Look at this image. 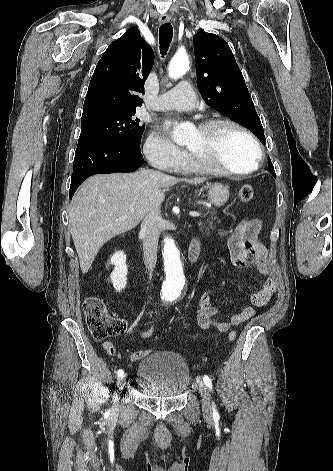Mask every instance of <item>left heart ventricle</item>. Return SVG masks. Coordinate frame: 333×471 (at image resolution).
Returning a JSON list of instances; mask_svg holds the SVG:
<instances>
[{
    "mask_svg": "<svg viewBox=\"0 0 333 471\" xmlns=\"http://www.w3.org/2000/svg\"><path fill=\"white\" fill-rule=\"evenodd\" d=\"M185 146L209 156L215 163L233 170H247L255 165L257 153L252 142L239 130L220 126L208 134L193 130Z\"/></svg>",
    "mask_w": 333,
    "mask_h": 471,
    "instance_id": "obj_1",
    "label": "left heart ventricle"
}]
</instances>
